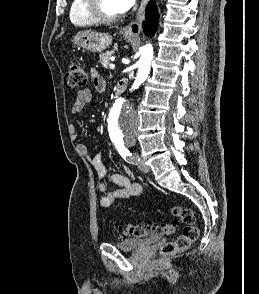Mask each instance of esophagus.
<instances>
[{
    "instance_id": "1",
    "label": "esophagus",
    "mask_w": 259,
    "mask_h": 294,
    "mask_svg": "<svg viewBox=\"0 0 259 294\" xmlns=\"http://www.w3.org/2000/svg\"><path fill=\"white\" fill-rule=\"evenodd\" d=\"M148 0H141L140 7L135 19L126 25L123 29L124 33L131 37H137L142 30V21L144 19L145 8Z\"/></svg>"
}]
</instances>
